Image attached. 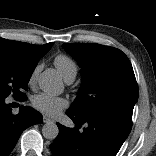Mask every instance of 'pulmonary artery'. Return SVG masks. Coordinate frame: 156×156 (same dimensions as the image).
<instances>
[{"mask_svg": "<svg viewBox=\"0 0 156 156\" xmlns=\"http://www.w3.org/2000/svg\"><path fill=\"white\" fill-rule=\"evenodd\" d=\"M73 80L71 79V80H68V81H66L67 83H71Z\"/></svg>", "mask_w": 156, "mask_h": 156, "instance_id": "pulmonary-artery-1", "label": "pulmonary artery"}]
</instances>
